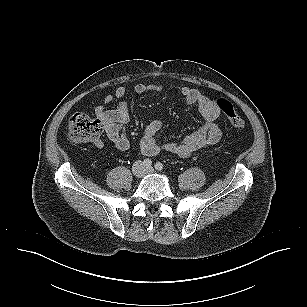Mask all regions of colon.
<instances>
[{
    "label": "colon",
    "instance_id": "obj_1",
    "mask_svg": "<svg viewBox=\"0 0 307 307\" xmlns=\"http://www.w3.org/2000/svg\"><path fill=\"white\" fill-rule=\"evenodd\" d=\"M216 105L236 128H244L245 121L235 112L232 104L225 99H217ZM100 121L82 113H75L69 119L68 138L73 143L95 142L102 133Z\"/></svg>",
    "mask_w": 307,
    "mask_h": 307
}]
</instances>
